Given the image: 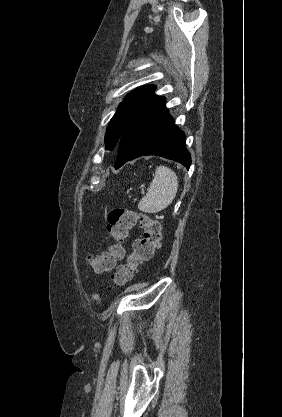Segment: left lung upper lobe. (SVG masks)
Instances as JSON below:
<instances>
[{
    "label": "left lung upper lobe",
    "instance_id": "obj_1",
    "mask_svg": "<svg viewBox=\"0 0 282 417\" xmlns=\"http://www.w3.org/2000/svg\"><path fill=\"white\" fill-rule=\"evenodd\" d=\"M154 90L155 86L146 85L137 88L126 96L108 125L105 135L106 150L112 151L117 147L126 120L133 110L146 100Z\"/></svg>",
    "mask_w": 282,
    "mask_h": 417
}]
</instances>
